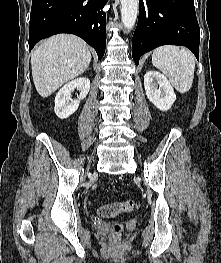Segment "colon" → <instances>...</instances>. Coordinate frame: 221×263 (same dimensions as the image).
<instances>
[{"mask_svg": "<svg viewBox=\"0 0 221 263\" xmlns=\"http://www.w3.org/2000/svg\"><path fill=\"white\" fill-rule=\"evenodd\" d=\"M136 208V203L133 200H126L123 202L107 203L98 209V214L104 218H111L122 213H128ZM122 232V226L116 223L112 226V237L118 239Z\"/></svg>", "mask_w": 221, "mask_h": 263, "instance_id": "1", "label": "colon"}]
</instances>
